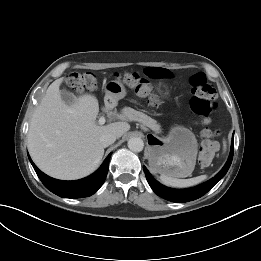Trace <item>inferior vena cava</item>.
<instances>
[{"label":"inferior vena cava","instance_id":"obj_1","mask_svg":"<svg viewBox=\"0 0 261 261\" xmlns=\"http://www.w3.org/2000/svg\"><path fill=\"white\" fill-rule=\"evenodd\" d=\"M116 140V136L114 134L108 133L104 134L100 137V143L103 147H108L109 145L113 144Z\"/></svg>","mask_w":261,"mask_h":261}]
</instances>
